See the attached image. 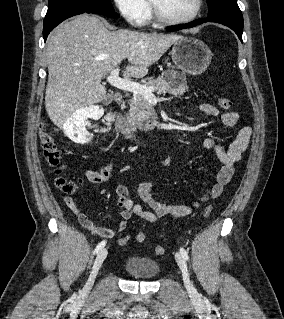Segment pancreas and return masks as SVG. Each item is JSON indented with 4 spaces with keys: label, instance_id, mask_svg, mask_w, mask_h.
Masks as SVG:
<instances>
[{
    "label": "pancreas",
    "instance_id": "pancreas-1",
    "mask_svg": "<svg viewBox=\"0 0 284 319\" xmlns=\"http://www.w3.org/2000/svg\"><path fill=\"white\" fill-rule=\"evenodd\" d=\"M179 78L181 82L177 80ZM145 86L156 88L158 94L183 95L188 90L186 77L173 70L162 73L157 79L148 78ZM127 118L133 128L149 131L154 128L152 121L155 118V111L144 96L135 94L130 100V111Z\"/></svg>",
    "mask_w": 284,
    "mask_h": 319
}]
</instances>
